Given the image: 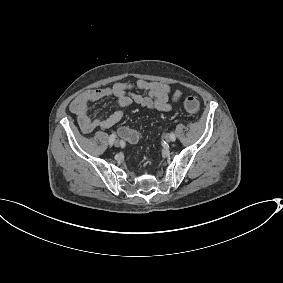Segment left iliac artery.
Wrapping results in <instances>:
<instances>
[{"label":"left iliac artery","mask_w":283,"mask_h":283,"mask_svg":"<svg viewBox=\"0 0 283 283\" xmlns=\"http://www.w3.org/2000/svg\"><path fill=\"white\" fill-rule=\"evenodd\" d=\"M171 141L174 142L176 140L175 135L173 133L170 134Z\"/></svg>","instance_id":"left-iliac-artery-1"}]
</instances>
